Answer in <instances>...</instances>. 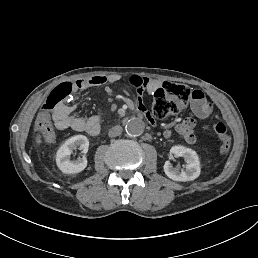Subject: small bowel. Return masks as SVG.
<instances>
[{
  "instance_id": "c3829d8e",
  "label": "small bowel",
  "mask_w": 258,
  "mask_h": 258,
  "mask_svg": "<svg viewBox=\"0 0 258 258\" xmlns=\"http://www.w3.org/2000/svg\"><path fill=\"white\" fill-rule=\"evenodd\" d=\"M121 80L119 74L95 75L83 79H78L74 83L76 90L87 89L91 87H107L110 84ZM129 82L137 89V103L141 113L151 123H155L153 114L148 111L143 102V93L149 90L154 83L142 76H131ZM212 110V104L206 100L204 94L199 90H194L191 96L190 115L175 125L174 132L178 134L185 142L193 144L196 142V119L206 118ZM72 129L78 132H86L91 136H96L100 132V120L98 116L82 117L72 113L68 103L57 108L52 115V119L41 114L38 118V129L42 140L47 144L55 141V131ZM174 132L166 129L163 133L166 139H170Z\"/></svg>"
}]
</instances>
